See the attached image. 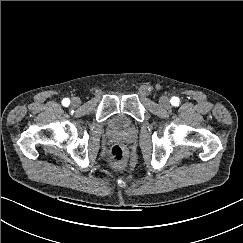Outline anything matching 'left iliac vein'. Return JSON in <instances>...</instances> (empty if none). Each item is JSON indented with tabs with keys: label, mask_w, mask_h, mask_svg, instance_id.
<instances>
[{
	"label": "left iliac vein",
	"mask_w": 243,
	"mask_h": 243,
	"mask_svg": "<svg viewBox=\"0 0 243 243\" xmlns=\"http://www.w3.org/2000/svg\"><path fill=\"white\" fill-rule=\"evenodd\" d=\"M159 103L163 108H168L169 107V99L166 96H162L159 99Z\"/></svg>",
	"instance_id": "obj_1"
}]
</instances>
